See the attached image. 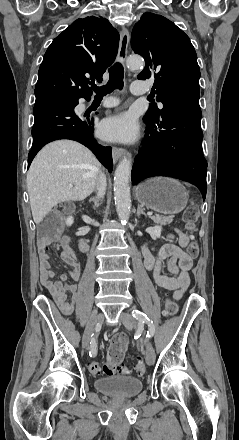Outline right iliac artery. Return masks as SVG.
<instances>
[{
    "mask_svg": "<svg viewBox=\"0 0 239 440\" xmlns=\"http://www.w3.org/2000/svg\"><path fill=\"white\" fill-rule=\"evenodd\" d=\"M92 340H91V349L89 352V355L91 357H95L97 355V344H96V340H95V336L92 334Z\"/></svg>",
    "mask_w": 239,
    "mask_h": 440,
    "instance_id": "obj_1",
    "label": "right iliac artery"
}]
</instances>
